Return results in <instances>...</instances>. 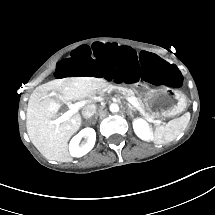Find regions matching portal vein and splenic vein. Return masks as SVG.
<instances>
[{
	"label": "portal vein and splenic vein",
	"instance_id": "portal-vein-and-splenic-vein-1",
	"mask_svg": "<svg viewBox=\"0 0 215 215\" xmlns=\"http://www.w3.org/2000/svg\"><path fill=\"white\" fill-rule=\"evenodd\" d=\"M128 102L137 107V103L135 101V99L133 98H128ZM82 106L81 103H75V104H70L69 105V110L67 112H65L63 115H61L60 117H58L55 120H51L50 123L51 124H55L56 126H59L62 122L67 121L68 119H70V117L75 114L76 112H78L79 108Z\"/></svg>",
	"mask_w": 215,
	"mask_h": 215
}]
</instances>
